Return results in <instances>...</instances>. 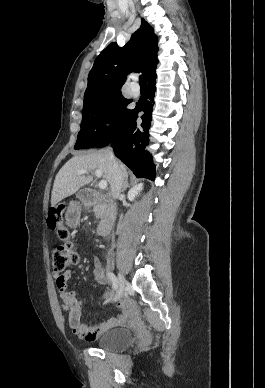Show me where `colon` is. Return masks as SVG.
<instances>
[{
    "instance_id": "colon-1",
    "label": "colon",
    "mask_w": 265,
    "mask_h": 388,
    "mask_svg": "<svg viewBox=\"0 0 265 388\" xmlns=\"http://www.w3.org/2000/svg\"><path fill=\"white\" fill-rule=\"evenodd\" d=\"M63 210L64 205L59 204L51 209L48 218V225L58 232L60 239L63 241V244L54 249L52 254V269L58 288H62L64 284V272L78 261V254L72 243L71 232L62 223Z\"/></svg>"
}]
</instances>
